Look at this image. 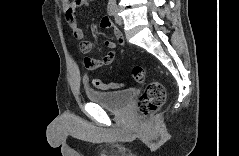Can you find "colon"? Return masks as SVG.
I'll list each match as a JSON object with an SVG mask.
<instances>
[{"instance_id": "colon-1", "label": "colon", "mask_w": 239, "mask_h": 156, "mask_svg": "<svg viewBox=\"0 0 239 156\" xmlns=\"http://www.w3.org/2000/svg\"><path fill=\"white\" fill-rule=\"evenodd\" d=\"M135 81L142 83L145 81V70L142 66H134L132 70ZM95 86L101 89H114L121 87L120 83H107L101 80L94 81ZM166 100V90L159 81L150 82L137 101V110L143 117L152 115L158 110Z\"/></svg>"}]
</instances>
